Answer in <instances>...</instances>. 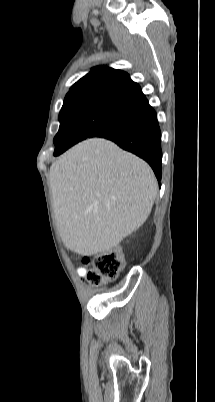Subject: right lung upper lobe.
Listing matches in <instances>:
<instances>
[{"label": "right lung upper lobe", "mask_w": 215, "mask_h": 402, "mask_svg": "<svg viewBox=\"0 0 215 402\" xmlns=\"http://www.w3.org/2000/svg\"><path fill=\"white\" fill-rule=\"evenodd\" d=\"M86 94H108L135 103H148L140 86L126 72L107 66L93 68L70 88L66 96Z\"/></svg>", "instance_id": "right-lung-upper-lobe-1"}]
</instances>
